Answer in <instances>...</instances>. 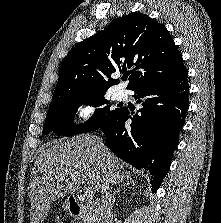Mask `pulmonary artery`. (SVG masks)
Masks as SVG:
<instances>
[{
    "label": "pulmonary artery",
    "instance_id": "pulmonary-artery-1",
    "mask_svg": "<svg viewBox=\"0 0 221 223\" xmlns=\"http://www.w3.org/2000/svg\"><path fill=\"white\" fill-rule=\"evenodd\" d=\"M115 97L119 100L126 98V93L124 90H118L115 94Z\"/></svg>",
    "mask_w": 221,
    "mask_h": 223
}]
</instances>
